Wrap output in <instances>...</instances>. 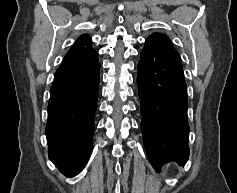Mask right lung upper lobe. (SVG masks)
<instances>
[{
  "mask_svg": "<svg viewBox=\"0 0 237 193\" xmlns=\"http://www.w3.org/2000/svg\"><path fill=\"white\" fill-rule=\"evenodd\" d=\"M94 49L91 47V38L83 34L81 35L74 45L70 48L69 51H93Z\"/></svg>",
  "mask_w": 237,
  "mask_h": 193,
  "instance_id": "1",
  "label": "right lung upper lobe"
}]
</instances>
